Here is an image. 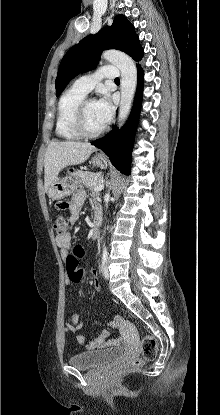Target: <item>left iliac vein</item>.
Masks as SVG:
<instances>
[{"label":"left iliac vein","mask_w":220,"mask_h":415,"mask_svg":"<svg viewBox=\"0 0 220 415\" xmlns=\"http://www.w3.org/2000/svg\"><path fill=\"white\" fill-rule=\"evenodd\" d=\"M102 274H103L105 279H109L110 272H109V269L106 265H103V267H102Z\"/></svg>","instance_id":"obj_1"}]
</instances>
